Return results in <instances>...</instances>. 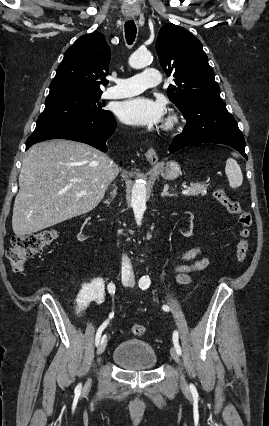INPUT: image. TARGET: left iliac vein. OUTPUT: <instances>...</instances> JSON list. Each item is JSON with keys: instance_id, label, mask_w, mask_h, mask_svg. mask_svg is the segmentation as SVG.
Wrapping results in <instances>:
<instances>
[{"instance_id": "obj_1", "label": "left iliac vein", "mask_w": 269, "mask_h": 426, "mask_svg": "<svg viewBox=\"0 0 269 426\" xmlns=\"http://www.w3.org/2000/svg\"><path fill=\"white\" fill-rule=\"evenodd\" d=\"M170 354H171V357L173 358V360H174L175 362L180 363L179 354L177 353V351H176V349H175V348L171 347V349H170ZM180 383H181V386H182L183 388H186V387H187V383H186V380H185V378H184V376H183V375H181Z\"/></svg>"}]
</instances>
